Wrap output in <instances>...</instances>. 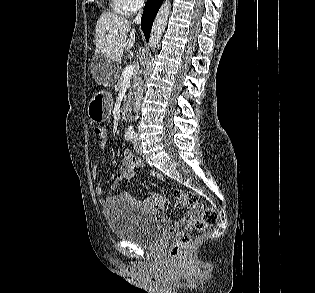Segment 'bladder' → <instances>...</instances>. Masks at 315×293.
<instances>
[{
  "label": "bladder",
  "instance_id": "bladder-1",
  "mask_svg": "<svg viewBox=\"0 0 315 293\" xmlns=\"http://www.w3.org/2000/svg\"><path fill=\"white\" fill-rule=\"evenodd\" d=\"M112 234L139 247L157 244L162 229L156 220L145 211L125 202H113L103 211Z\"/></svg>",
  "mask_w": 315,
  "mask_h": 293
}]
</instances>
